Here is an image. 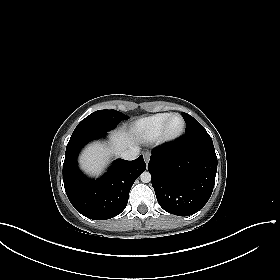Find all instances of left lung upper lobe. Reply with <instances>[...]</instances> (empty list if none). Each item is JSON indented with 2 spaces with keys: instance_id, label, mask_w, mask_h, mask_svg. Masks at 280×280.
I'll list each match as a JSON object with an SVG mask.
<instances>
[{
  "instance_id": "left-lung-upper-lobe-1",
  "label": "left lung upper lobe",
  "mask_w": 280,
  "mask_h": 280,
  "mask_svg": "<svg viewBox=\"0 0 280 280\" xmlns=\"http://www.w3.org/2000/svg\"><path fill=\"white\" fill-rule=\"evenodd\" d=\"M182 116L186 123V135L194 133H207L205 128L197 122L192 116L187 113L182 112Z\"/></svg>"
}]
</instances>
